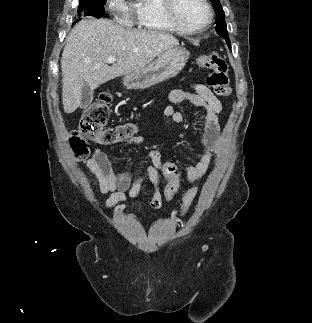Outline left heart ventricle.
I'll return each instance as SVG.
<instances>
[{
	"label": "left heart ventricle",
	"instance_id": "1",
	"mask_svg": "<svg viewBox=\"0 0 312 323\" xmlns=\"http://www.w3.org/2000/svg\"><path fill=\"white\" fill-rule=\"evenodd\" d=\"M174 14L178 18H186L187 22H194L195 18H207L209 7H203L201 0H172Z\"/></svg>",
	"mask_w": 312,
	"mask_h": 323
}]
</instances>
